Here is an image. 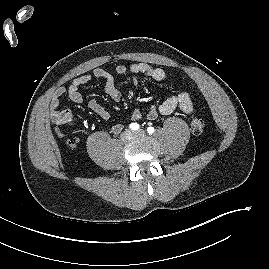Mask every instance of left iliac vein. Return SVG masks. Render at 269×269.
Segmentation results:
<instances>
[{"instance_id":"4c4485c4","label":"left iliac vein","mask_w":269,"mask_h":269,"mask_svg":"<svg viewBox=\"0 0 269 269\" xmlns=\"http://www.w3.org/2000/svg\"><path fill=\"white\" fill-rule=\"evenodd\" d=\"M134 137H142L145 135V131L144 130H139L133 133Z\"/></svg>"}]
</instances>
